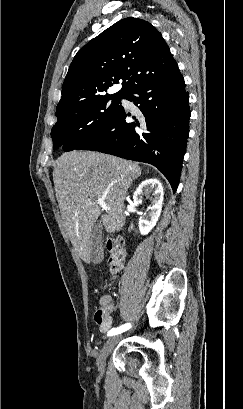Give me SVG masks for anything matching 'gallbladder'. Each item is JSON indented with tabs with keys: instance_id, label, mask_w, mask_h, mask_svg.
Wrapping results in <instances>:
<instances>
[{
	"instance_id": "obj_1",
	"label": "gallbladder",
	"mask_w": 243,
	"mask_h": 409,
	"mask_svg": "<svg viewBox=\"0 0 243 409\" xmlns=\"http://www.w3.org/2000/svg\"><path fill=\"white\" fill-rule=\"evenodd\" d=\"M91 260L96 264L103 260L102 238L97 231L91 235Z\"/></svg>"
}]
</instances>
